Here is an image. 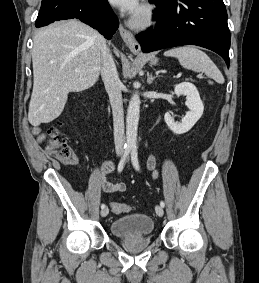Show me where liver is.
Returning a JSON list of instances; mask_svg holds the SVG:
<instances>
[{
    "mask_svg": "<svg viewBox=\"0 0 259 283\" xmlns=\"http://www.w3.org/2000/svg\"><path fill=\"white\" fill-rule=\"evenodd\" d=\"M33 43L34 83L28 120L39 126L60 116L70 92L86 90L97 82L106 42L88 25L69 20L37 31Z\"/></svg>",
    "mask_w": 259,
    "mask_h": 283,
    "instance_id": "1",
    "label": "liver"
}]
</instances>
